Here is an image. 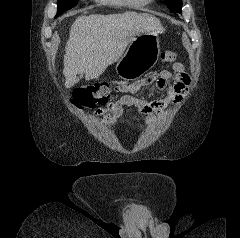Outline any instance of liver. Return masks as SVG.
<instances>
[{"mask_svg": "<svg viewBox=\"0 0 240 238\" xmlns=\"http://www.w3.org/2000/svg\"><path fill=\"white\" fill-rule=\"evenodd\" d=\"M164 30L160 20L147 13L77 17L65 48V87L71 88L78 82L77 75L82 73L87 81L98 79L123 55L136 36L145 32L159 34Z\"/></svg>", "mask_w": 240, "mask_h": 238, "instance_id": "obj_1", "label": "liver"}]
</instances>
